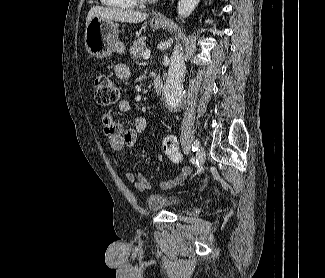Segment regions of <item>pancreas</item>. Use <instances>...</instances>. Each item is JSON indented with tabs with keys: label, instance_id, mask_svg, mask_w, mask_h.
Here are the masks:
<instances>
[{
	"label": "pancreas",
	"instance_id": "pancreas-1",
	"mask_svg": "<svg viewBox=\"0 0 325 278\" xmlns=\"http://www.w3.org/2000/svg\"><path fill=\"white\" fill-rule=\"evenodd\" d=\"M129 51L133 60L139 61L147 51L145 38L135 40L130 46Z\"/></svg>",
	"mask_w": 325,
	"mask_h": 278
}]
</instances>
